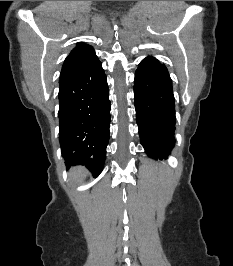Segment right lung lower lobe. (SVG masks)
<instances>
[{"instance_id":"right-lung-lower-lobe-1","label":"right lung lower lobe","mask_w":233,"mask_h":266,"mask_svg":"<svg viewBox=\"0 0 233 266\" xmlns=\"http://www.w3.org/2000/svg\"><path fill=\"white\" fill-rule=\"evenodd\" d=\"M59 141L67 167L85 165L97 177L109 141L107 78L96 55L59 79Z\"/></svg>"}]
</instances>
